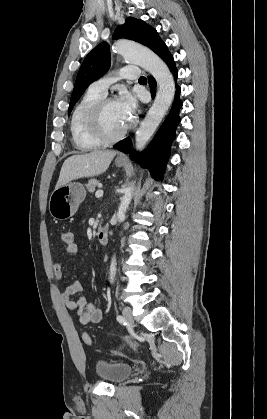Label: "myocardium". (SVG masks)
<instances>
[{"label":"myocardium","mask_w":267,"mask_h":419,"mask_svg":"<svg viewBox=\"0 0 267 419\" xmlns=\"http://www.w3.org/2000/svg\"><path fill=\"white\" fill-rule=\"evenodd\" d=\"M114 101H117V99L113 96H103L92 105L87 115V126L90 133L102 144L119 141L126 135L130 127L127 124L119 133L114 135L108 134L105 131L102 122L103 112L106 106Z\"/></svg>","instance_id":"myocardium-1"}]
</instances>
